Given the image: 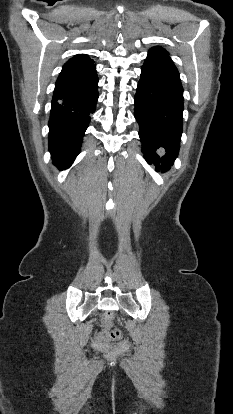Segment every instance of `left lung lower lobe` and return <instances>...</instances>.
<instances>
[{"label":"left lung lower lobe","instance_id":"0a47b994","mask_svg":"<svg viewBox=\"0 0 233 414\" xmlns=\"http://www.w3.org/2000/svg\"><path fill=\"white\" fill-rule=\"evenodd\" d=\"M134 98V116L148 164L167 170L180 148L183 126V87L168 54L149 50Z\"/></svg>","mask_w":233,"mask_h":414}]
</instances>
